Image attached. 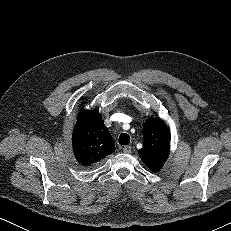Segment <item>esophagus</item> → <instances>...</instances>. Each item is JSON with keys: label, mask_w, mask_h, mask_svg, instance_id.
<instances>
[{"label": "esophagus", "mask_w": 231, "mask_h": 231, "mask_svg": "<svg viewBox=\"0 0 231 231\" xmlns=\"http://www.w3.org/2000/svg\"><path fill=\"white\" fill-rule=\"evenodd\" d=\"M131 150H132L131 146H124L123 147V152L126 154L131 153Z\"/></svg>", "instance_id": "esophagus-1"}]
</instances>
